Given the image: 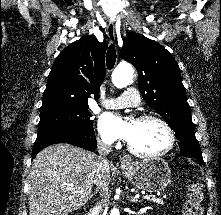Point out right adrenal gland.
Masks as SVG:
<instances>
[{
	"label": "right adrenal gland",
	"instance_id": "1",
	"mask_svg": "<svg viewBox=\"0 0 221 215\" xmlns=\"http://www.w3.org/2000/svg\"><path fill=\"white\" fill-rule=\"evenodd\" d=\"M97 193V191H95L93 194H91V196L90 197H93L94 196V194H96Z\"/></svg>",
	"mask_w": 221,
	"mask_h": 215
}]
</instances>
